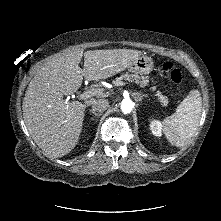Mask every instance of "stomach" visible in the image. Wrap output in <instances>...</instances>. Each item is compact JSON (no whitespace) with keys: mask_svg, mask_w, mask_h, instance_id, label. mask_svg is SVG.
I'll return each instance as SVG.
<instances>
[{"mask_svg":"<svg viewBox=\"0 0 221 221\" xmlns=\"http://www.w3.org/2000/svg\"><path fill=\"white\" fill-rule=\"evenodd\" d=\"M153 64L151 57L141 55L128 66V70L134 73L148 74L153 69Z\"/></svg>","mask_w":221,"mask_h":221,"instance_id":"stomach-1","label":"stomach"}]
</instances>
